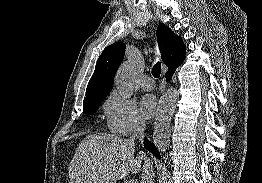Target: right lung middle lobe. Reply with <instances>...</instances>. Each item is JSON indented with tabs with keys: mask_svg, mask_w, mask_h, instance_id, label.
Segmentation results:
<instances>
[{
	"mask_svg": "<svg viewBox=\"0 0 262 183\" xmlns=\"http://www.w3.org/2000/svg\"><path fill=\"white\" fill-rule=\"evenodd\" d=\"M103 100L104 98L91 100V101H84L83 102V113L84 114H94L98 110Z\"/></svg>",
	"mask_w": 262,
	"mask_h": 183,
	"instance_id": "dd1d6c3e",
	"label": "right lung middle lobe"
}]
</instances>
